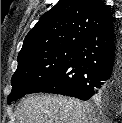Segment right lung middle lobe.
<instances>
[{"mask_svg": "<svg viewBox=\"0 0 122 123\" xmlns=\"http://www.w3.org/2000/svg\"><path fill=\"white\" fill-rule=\"evenodd\" d=\"M76 49H61L29 56L18 60V67L12 76V91L7 103L28 94L34 87L43 82L73 56Z\"/></svg>", "mask_w": 122, "mask_h": 123, "instance_id": "right-lung-middle-lobe-1", "label": "right lung middle lobe"}]
</instances>
